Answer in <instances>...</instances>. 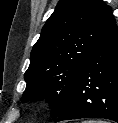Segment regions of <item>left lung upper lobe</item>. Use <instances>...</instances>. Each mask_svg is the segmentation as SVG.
Masks as SVG:
<instances>
[{"mask_svg": "<svg viewBox=\"0 0 118 123\" xmlns=\"http://www.w3.org/2000/svg\"><path fill=\"white\" fill-rule=\"evenodd\" d=\"M115 22L102 0H60L31 51L21 100L47 98L51 117L57 118L84 65Z\"/></svg>", "mask_w": 118, "mask_h": 123, "instance_id": "left-lung-upper-lobe-1", "label": "left lung upper lobe"}]
</instances>
